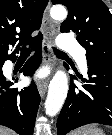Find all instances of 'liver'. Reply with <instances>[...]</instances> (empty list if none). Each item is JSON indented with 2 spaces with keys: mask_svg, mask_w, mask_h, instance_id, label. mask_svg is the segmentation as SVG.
<instances>
[{
  "mask_svg": "<svg viewBox=\"0 0 112 135\" xmlns=\"http://www.w3.org/2000/svg\"><path fill=\"white\" fill-rule=\"evenodd\" d=\"M0 135H15V133L5 127L0 126Z\"/></svg>",
  "mask_w": 112,
  "mask_h": 135,
  "instance_id": "6515ba94",
  "label": "liver"
}]
</instances>
